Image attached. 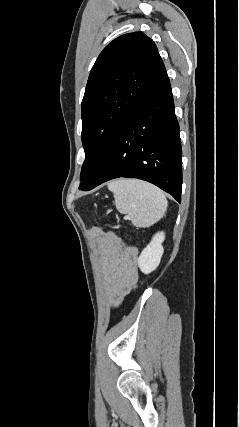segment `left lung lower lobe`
Instances as JSON below:
<instances>
[{
  "instance_id": "1",
  "label": "left lung lower lobe",
  "mask_w": 239,
  "mask_h": 427,
  "mask_svg": "<svg viewBox=\"0 0 239 427\" xmlns=\"http://www.w3.org/2000/svg\"><path fill=\"white\" fill-rule=\"evenodd\" d=\"M179 125L167 78L133 112L117 134L92 183L84 191L119 177L155 184L181 202Z\"/></svg>"
}]
</instances>
